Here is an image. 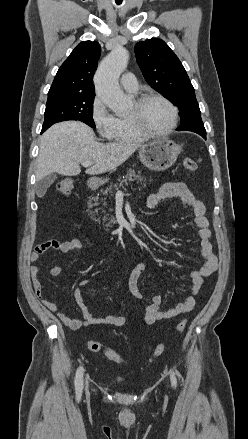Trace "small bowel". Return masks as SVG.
I'll return each mask as SVG.
<instances>
[{
    "mask_svg": "<svg viewBox=\"0 0 248 439\" xmlns=\"http://www.w3.org/2000/svg\"><path fill=\"white\" fill-rule=\"evenodd\" d=\"M174 197L179 199L181 205L191 209V211L193 212V223L198 229V237L200 241V250L201 256L203 258V263L199 269L194 270L191 273L192 286L189 295L185 298L183 302L178 303L175 307L167 311H161L162 297L160 295H154L150 299L149 304L146 307L145 315L142 318V321L145 324H153L160 320L171 319L190 312L196 304V297L198 296L201 287L203 286L204 279L212 275L217 270L218 261L212 250L211 231L209 229V221L205 215L206 207L203 202L198 200L193 195V193L189 190L185 183L171 182L164 184L158 190V192L149 196L146 205L148 208H153L162 200ZM89 248L90 247L88 244L79 239H72L62 243H45L35 247L30 256V262L35 263L40 258V256L49 249L56 250L61 256H66L74 250H87ZM146 268L147 264L145 262L138 263L136 267L132 270L129 278V289L131 293L138 299L144 298L143 293L139 289V280ZM62 270L63 268L61 264H56L51 268L50 273L53 276H58L62 273ZM30 274L35 295L69 328L76 330L83 326L87 327L95 324H103L115 327H124L127 325V320L119 314H112L103 318H97L90 312L89 308L84 303L81 293V288L88 284L87 279L80 280L73 290V299L82 312V318H72L67 316L60 309V306L57 302L52 301L43 295L42 284L37 276V266L32 265L30 267Z\"/></svg>",
    "mask_w": 248,
    "mask_h": 439,
    "instance_id": "c3829d8e",
    "label": "small bowel"
}]
</instances>
